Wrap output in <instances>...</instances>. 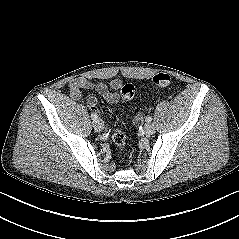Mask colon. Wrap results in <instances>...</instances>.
Wrapping results in <instances>:
<instances>
[{
  "label": "colon",
  "instance_id": "1",
  "mask_svg": "<svg viewBox=\"0 0 239 239\" xmlns=\"http://www.w3.org/2000/svg\"><path fill=\"white\" fill-rule=\"evenodd\" d=\"M170 76L166 73H158L152 78L151 85L153 88H162L170 84ZM136 94V89L132 84H125L121 89L122 99L124 101H129L133 99ZM112 140L114 144L120 149L125 148V135L121 127H118L113 136Z\"/></svg>",
  "mask_w": 239,
  "mask_h": 239
}]
</instances>
